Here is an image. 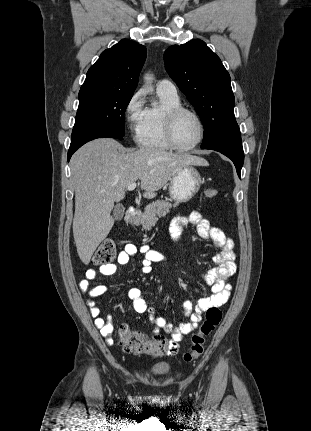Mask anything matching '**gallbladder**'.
Returning <instances> with one entry per match:
<instances>
[{
    "label": "gallbladder",
    "instance_id": "1",
    "mask_svg": "<svg viewBox=\"0 0 311 431\" xmlns=\"http://www.w3.org/2000/svg\"><path fill=\"white\" fill-rule=\"evenodd\" d=\"M125 208L122 206V204H117V206H114L113 210V216L114 219H122L124 216Z\"/></svg>",
    "mask_w": 311,
    "mask_h": 431
}]
</instances>
